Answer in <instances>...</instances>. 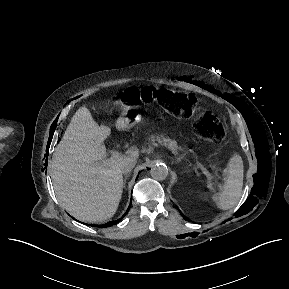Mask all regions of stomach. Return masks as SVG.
<instances>
[{"label": "stomach", "instance_id": "stomach-1", "mask_svg": "<svg viewBox=\"0 0 289 289\" xmlns=\"http://www.w3.org/2000/svg\"><path fill=\"white\" fill-rule=\"evenodd\" d=\"M139 118V115L133 111L123 112L116 122V127L121 130H127L133 127Z\"/></svg>", "mask_w": 289, "mask_h": 289}]
</instances>
